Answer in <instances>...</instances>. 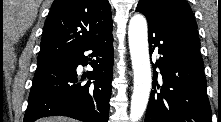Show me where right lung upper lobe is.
I'll return each mask as SVG.
<instances>
[{
	"label": "right lung upper lobe",
	"instance_id": "right-lung-upper-lobe-1",
	"mask_svg": "<svg viewBox=\"0 0 221 122\" xmlns=\"http://www.w3.org/2000/svg\"><path fill=\"white\" fill-rule=\"evenodd\" d=\"M111 31L108 0H55L44 24L38 61L65 57Z\"/></svg>",
	"mask_w": 221,
	"mask_h": 122
}]
</instances>
